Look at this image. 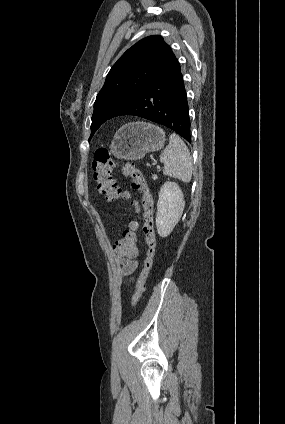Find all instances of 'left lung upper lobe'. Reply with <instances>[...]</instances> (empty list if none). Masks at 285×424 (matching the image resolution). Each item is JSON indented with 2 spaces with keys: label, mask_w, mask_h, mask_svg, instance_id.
<instances>
[{
  "label": "left lung upper lobe",
  "mask_w": 285,
  "mask_h": 424,
  "mask_svg": "<svg viewBox=\"0 0 285 424\" xmlns=\"http://www.w3.org/2000/svg\"><path fill=\"white\" fill-rule=\"evenodd\" d=\"M172 56L163 38L152 35L138 41L118 59L96 97L89 140L117 109L159 76Z\"/></svg>",
  "instance_id": "1"
}]
</instances>
